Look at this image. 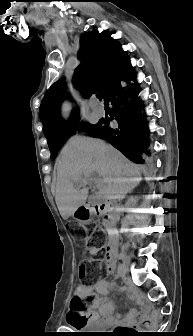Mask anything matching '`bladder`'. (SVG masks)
I'll list each match as a JSON object with an SVG mask.
<instances>
[{
    "instance_id": "1",
    "label": "bladder",
    "mask_w": 193,
    "mask_h": 336,
    "mask_svg": "<svg viewBox=\"0 0 193 336\" xmlns=\"http://www.w3.org/2000/svg\"><path fill=\"white\" fill-rule=\"evenodd\" d=\"M83 328L85 330H101V329H104L105 327L100 321H94V322H88L84 324Z\"/></svg>"
}]
</instances>
